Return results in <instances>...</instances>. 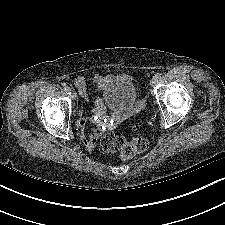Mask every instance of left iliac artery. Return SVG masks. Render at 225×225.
<instances>
[{"label": "left iliac artery", "instance_id": "44dca946", "mask_svg": "<svg viewBox=\"0 0 225 225\" xmlns=\"http://www.w3.org/2000/svg\"><path fill=\"white\" fill-rule=\"evenodd\" d=\"M154 78H155L156 80H159V79L162 78V74H161V73H156L155 76H154Z\"/></svg>", "mask_w": 225, "mask_h": 225}]
</instances>
